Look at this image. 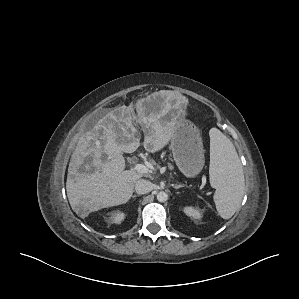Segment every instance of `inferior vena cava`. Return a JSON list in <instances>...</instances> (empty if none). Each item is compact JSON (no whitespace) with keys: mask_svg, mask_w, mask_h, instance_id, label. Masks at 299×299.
<instances>
[{"mask_svg":"<svg viewBox=\"0 0 299 299\" xmlns=\"http://www.w3.org/2000/svg\"><path fill=\"white\" fill-rule=\"evenodd\" d=\"M153 189V184L145 179H139L135 183V191L137 194H146L152 191Z\"/></svg>","mask_w":299,"mask_h":299,"instance_id":"obj_1","label":"inferior vena cava"}]
</instances>
